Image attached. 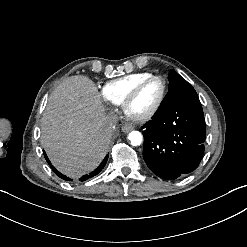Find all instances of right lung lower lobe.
<instances>
[{
	"label": "right lung lower lobe",
	"instance_id": "obj_1",
	"mask_svg": "<svg viewBox=\"0 0 247 247\" xmlns=\"http://www.w3.org/2000/svg\"><path fill=\"white\" fill-rule=\"evenodd\" d=\"M44 156H45L46 161L48 162V164L50 165V167L52 168V170L55 172V174L57 176H59L60 178H62L64 180H68V181L70 180L69 178H67L65 175L61 174L59 171H57L54 168V166L51 164V162L49 161L48 157L46 156L45 152H44ZM107 159H108V155L105 157V159L102 161V163L99 165V167L94 172L90 173L89 175L82 176L79 180L80 181H85V180L97 175L104 168V166L106 165Z\"/></svg>",
	"mask_w": 247,
	"mask_h": 247
}]
</instances>
